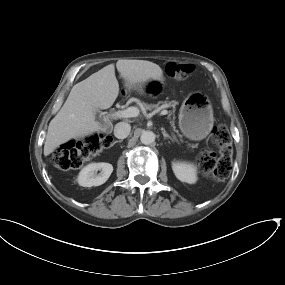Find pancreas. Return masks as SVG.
Segmentation results:
<instances>
[{
  "mask_svg": "<svg viewBox=\"0 0 285 285\" xmlns=\"http://www.w3.org/2000/svg\"><path fill=\"white\" fill-rule=\"evenodd\" d=\"M169 104L174 105V103H172V102H170ZM167 105H168L167 102H158L157 104H150V105H148V104H143V105H142V109H143V110H152V109L161 110V109L166 108ZM171 114H172V113H171ZM171 114H170V115H171ZM170 115H169V116H170Z\"/></svg>",
  "mask_w": 285,
  "mask_h": 285,
  "instance_id": "pancreas-1",
  "label": "pancreas"
}]
</instances>
